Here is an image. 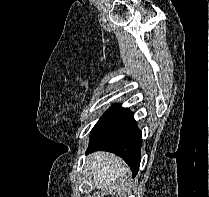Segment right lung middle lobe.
Masks as SVG:
<instances>
[{"label":"right lung middle lobe","mask_w":209,"mask_h":197,"mask_svg":"<svg viewBox=\"0 0 209 197\" xmlns=\"http://www.w3.org/2000/svg\"><path fill=\"white\" fill-rule=\"evenodd\" d=\"M121 108V105L120 104H115L113 105L105 114L102 115V117L100 118L103 119L105 118L106 116H108L109 114H111L112 112H114L115 110Z\"/></svg>","instance_id":"dd1d6c3e"}]
</instances>
